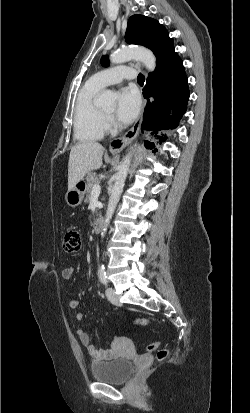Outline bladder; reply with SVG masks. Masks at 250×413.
Segmentation results:
<instances>
[{
	"mask_svg": "<svg viewBox=\"0 0 250 413\" xmlns=\"http://www.w3.org/2000/svg\"><path fill=\"white\" fill-rule=\"evenodd\" d=\"M135 365L128 358L100 361L91 364V373L95 380L110 384H122L134 372Z\"/></svg>",
	"mask_w": 250,
	"mask_h": 413,
	"instance_id": "31cf9c89",
	"label": "bladder"
}]
</instances>
